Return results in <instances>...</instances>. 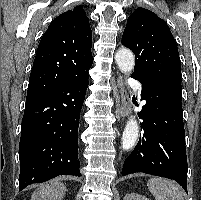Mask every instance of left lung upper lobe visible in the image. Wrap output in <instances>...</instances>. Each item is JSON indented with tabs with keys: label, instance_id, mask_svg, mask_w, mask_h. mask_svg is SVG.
<instances>
[{
	"label": "left lung upper lobe",
	"instance_id": "obj_1",
	"mask_svg": "<svg viewBox=\"0 0 201 200\" xmlns=\"http://www.w3.org/2000/svg\"><path fill=\"white\" fill-rule=\"evenodd\" d=\"M122 44L136 57L133 77L140 81H181L178 48L168 25L150 10L138 7L127 19Z\"/></svg>",
	"mask_w": 201,
	"mask_h": 200
}]
</instances>
